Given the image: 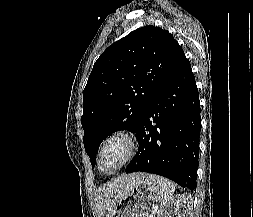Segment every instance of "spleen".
I'll return each mask as SVG.
<instances>
[{
	"label": "spleen",
	"instance_id": "3e777b00",
	"mask_svg": "<svg viewBox=\"0 0 253 217\" xmlns=\"http://www.w3.org/2000/svg\"><path fill=\"white\" fill-rule=\"evenodd\" d=\"M149 178L156 184L158 189V200L161 202L160 208L166 204L175 191V185L167 178L151 174Z\"/></svg>",
	"mask_w": 253,
	"mask_h": 217
}]
</instances>
